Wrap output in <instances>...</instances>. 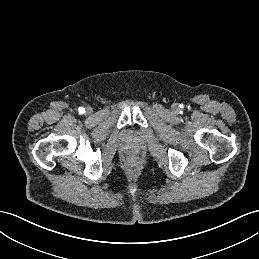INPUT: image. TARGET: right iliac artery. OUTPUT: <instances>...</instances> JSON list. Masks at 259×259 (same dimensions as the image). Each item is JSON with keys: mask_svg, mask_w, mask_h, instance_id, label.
Listing matches in <instances>:
<instances>
[{"mask_svg": "<svg viewBox=\"0 0 259 259\" xmlns=\"http://www.w3.org/2000/svg\"><path fill=\"white\" fill-rule=\"evenodd\" d=\"M78 111H79L80 114H83V113H85V108L79 107Z\"/></svg>", "mask_w": 259, "mask_h": 259, "instance_id": "1", "label": "right iliac artery"}]
</instances>
